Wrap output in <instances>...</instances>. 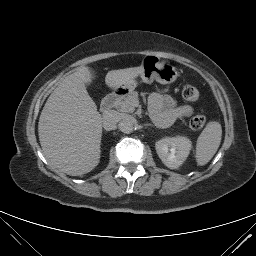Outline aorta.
Masks as SVG:
<instances>
[{
    "mask_svg": "<svg viewBox=\"0 0 256 256\" xmlns=\"http://www.w3.org/2000/svg\"><path fill=\"white\" fill-rule=\"evenodd\" d=\"M119 129L123 133H131L134 130V123L131 120H123L119 124Z\"/></svg>",
    "mask_w": 256,
    "mask_h": 256,
    "instance_id": "obj_1",
    "label": "aorta"
}]
</instances>
